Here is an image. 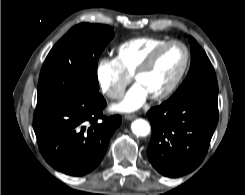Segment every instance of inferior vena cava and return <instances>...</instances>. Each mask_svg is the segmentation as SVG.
<instances>
[{"label": "inferior vena cava", "instance_id": "obj_1", "mask_svg": "<svg viewBox=\"0 0 245 195\" xmlns=\"http://www.w3.org/2000/svg\"><path fill=\"white\" fill-rule=\"evenodd\" d=\"M123 95H124L123 92H120V93L114 94V97L121 99L123 97Z\"/></svg>", "mask_w": 245, "mask_h": 195}]
</instances>
